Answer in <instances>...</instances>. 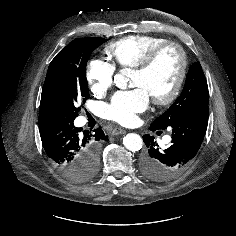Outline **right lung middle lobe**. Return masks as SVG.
Here are the masks:
<instances>
[{
  "instance_id": "obj_1",
  "label": "right lung middle lobe",
  "mask_w": 236,
  "mask_h": 236,
  "mask_svg": "<svg viewBox=\"0 0 236 236\" xmlns=\"http://www.w3.org/2000/svg\"><path fill=\"white\" fill-rule=\"evenodd\" d=\"M106 41L104 38H78L61 50L49 65L41 94L40 109L52 116H78V102L89 98L86 65L91 52ZM98 156L82 171L81 181L97 172Z\"/></svg>"
}]
</instances>
